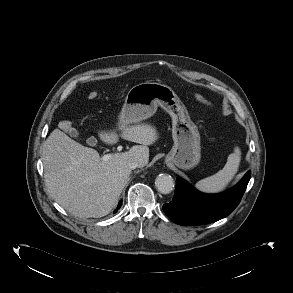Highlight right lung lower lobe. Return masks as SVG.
Returning <instances> with one entry per match:
<instances>
[{
  "label": "right lung lower lobe",
  "instance_id": "right-lung-lower-lobe-1",
  "mask_svg": "<svg viewBox=\"0 0 293 293\" xmlns=\"http://www.w3.org/2000/svg\"><path fill=\"white\" fill-rule=\"evenodd\" d=\"M120 207H121V202L119 203V205L115 211H117Z\"/></svg>",
  "mask_w": 293,
  "mask_h": 293
}]
</instances>
